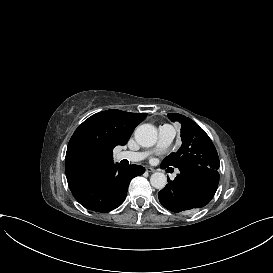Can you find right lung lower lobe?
Segmentation results:
<instances>
[{
    "label": "right lung lower lobe",
    "instance_id": "obj_1",
    "mask_svg": "<svg viewBox=\"0 0 273 273\" xmlns=\"http://www.w3.org/2000/svg\"><path fill=\"white\" fill-rule=\"evenodd\" d=\"M144 172L145 168L142 166L123 167L113 163L71 192L85 208L96 212H108L123 203L131 179Z\"/></svg>",
    "mask_w": 273,
    "mask_h": 273
}]
</instances>
